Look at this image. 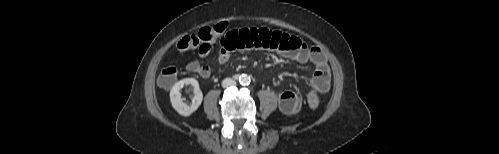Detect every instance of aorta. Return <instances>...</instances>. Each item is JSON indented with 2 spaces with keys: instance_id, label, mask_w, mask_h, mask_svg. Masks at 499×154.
I'll use <instances>...</instances> for the list:
<instances>
[{
  "instance_id": "aorta-1",
  "label": "aorta",
  "mask_w": 499,
  "mask_h": 154,
  "mask_svg": "<svg viewBox=\"0 0 499 154\" xmlns=\"http://www.w3.org/2000/svg\"><path fill=\"white\" fill-rule=\"evenodd\" d=\"M250 81H251L250 76L247 74H242L239 76V83L241 85H248Z\"/></svg>"
}]
</instances>
